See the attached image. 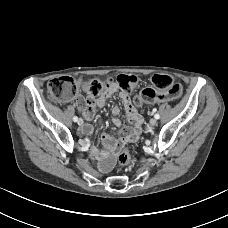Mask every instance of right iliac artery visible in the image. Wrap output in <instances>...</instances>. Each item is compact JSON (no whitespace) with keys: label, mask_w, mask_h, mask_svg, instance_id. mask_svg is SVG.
<instances>
[{"label":"right iliac artery","mask_w":228,"mask_h":228,"mask_svg":"<svg viewBox=\"0 0 228 228\" xmlns=\"http://www.w3.org/2000/svg\"><path fill=\"white\" fill-rule=\"evenodd\" d=\"M73 121H74V122H77V121H78V117H77V116H74V117H73Z\"/></svg>","instance_id":"82829eb1"}]
</instances>
